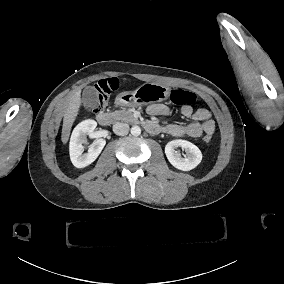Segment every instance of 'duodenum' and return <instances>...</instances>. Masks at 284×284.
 I'll return each mask as SVG.
<instances>
[{
  "label": "duodenum",
  "instance_id": "obj_1",
  "mask_svg": "<svg viewBox=\"0 0 284 284\" xmlns=\"http://www.w3.org/2000/svg\"><path fill=\"white\" fill-rule=\"evenodd\" d=\"M119 102L120 101H117V103ZM96 121L102 126H107L112 123L113 116L109 112H99L96 114Z\"/></svg>",
  "mask_w": 284,
  "mask_h": 284
}]
</instances>
